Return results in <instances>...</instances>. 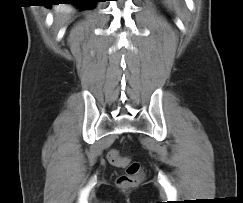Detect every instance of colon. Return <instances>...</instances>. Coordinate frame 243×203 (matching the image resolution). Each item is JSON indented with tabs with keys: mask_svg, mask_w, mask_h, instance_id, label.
<instances>
[{
	"mask_svg": "<svg viewBox=\"0 0 243 203\" xmlns=\"http://www.w3.org/2000/svg\"><path fill=\"white\" fill-rule=\"evenodd\" d=\"M109 161L115 165L125 167L126 172L120 175L116 182L121 188H130L137 185L142 179L141 167L137 162H129L117 150L108 153Z\"/></svg>",
	"mask_w": 243,
	"mask_h": 203,
	"instance_id": "colon-1",
	"label": "colon"
}]
</instances>
